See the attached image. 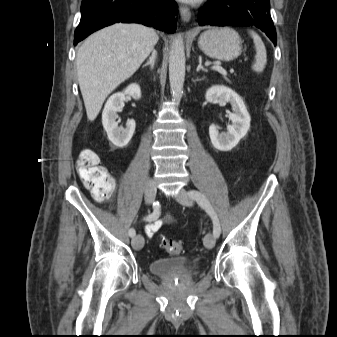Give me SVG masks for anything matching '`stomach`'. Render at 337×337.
<instances>
[{"label":"stomach","mask_w":337,"mask_h":337,"mask_svg":"<svg viewBox=\"0 0 337 337\" xmlns=\"http://www.w3.org/2000/svg\"><path fill=\"white\" fill-rule=\"evenodd\" d=\"M198 46L207 56L222 61H231L242 52V41L230 28L213 27L202 33Z\"/></svg>","instance_id":"0dacf381"}]
</instances>
